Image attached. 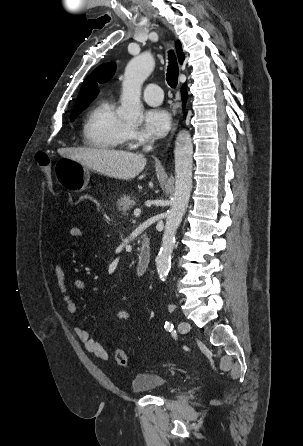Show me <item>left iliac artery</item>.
I'll list each match as a JSON object with an SVG mask.
<instances>
[{"mask_svg": "<svg viewBox=\"0 0 303 446\" xmlns=\"http://www.w3.org/2000/svg\"><path fill=\"white\" fill-rule=\"evenodd\" d=\"M164 327L167 331H172L174 328L173 324L170 322H166Z\"/></svg>", "mask_w": 303, "mask_h": 446, "instance_id": "left-iliac-artery-1", "label": "left iliac artery"}]
</instances>
